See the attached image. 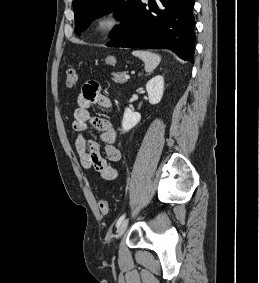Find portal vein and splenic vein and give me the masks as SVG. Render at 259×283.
I'll return each mask as SVG.
<instances>
[{
    "instance_id": "obj_1",
    "label": "portal vein and splenic vein",
    "mask_w": 259,
    "mask_h": 283,
    "mask_svg": "<svg viewBox=\"0 0 259 283\" xmlns=\"http://www.w3.org/2000/svg\"><path fill=\"white\" fill-rule=\"evenodd\" d=\"M130 76L128 74L125 75V79H129Z\"/></svg>"
}]
</instances>
